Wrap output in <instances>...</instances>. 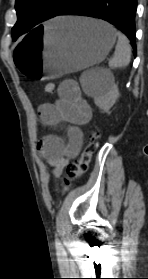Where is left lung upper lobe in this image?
<instances>
[{"instance_id": "1", "label": "left lung upper lobe", "mask_w": 148, "mask_h": 279, "mask_svg": "<svg viewBox=\"0 0 148 279\" xmlns=\"http://www.w3.org/2000/svg\"><path fill=\"white\" fill-rule=\"evenodd\" d=\"M72 0H16L18 20L12 28L16 40L39 23L57 16Z\"/></svg>"}]
</instances>
